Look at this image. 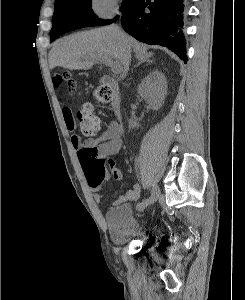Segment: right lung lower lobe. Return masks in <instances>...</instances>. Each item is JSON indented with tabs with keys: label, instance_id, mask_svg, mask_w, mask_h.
I'll return each mask as SVG.
<instances>
[{
	"label": "right lung lower lobe",
	"instance_id": "1",
	"mask_svg": "<svg viewBox=\"0 0 245 300\" xmlns=\"http://www.w3.org/2000/svg\"><path fill=\"white\" fill-rule=\"evenodd\" d=\"M183 0H136L121 16L124 30L141 42L166 46L187 62L183 36ZM57 36L82 28L72 20H59ZM57 37V38H58Z\"/></svg>",
	"mask_w": 245,
	"mask_h": 300
}]
</instances>
